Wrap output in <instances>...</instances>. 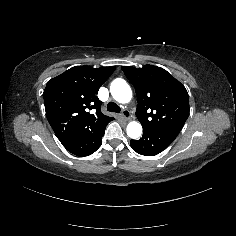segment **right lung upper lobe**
I'll list each match as a JSON object with an SVG mask.
<instances>
[{"label": "right lung upper lobe", "mask_w": 236, "mask_h": 236, "mask_svg": "<svg viewBox=\"0 0 236 236\" xmlns=\"http://www.w3.org/2000/svg\"><path fill=\"white\" fill-rule=\"evenodd\" d=\"M115 69L76 66L47 83L43 93L46 116L63 145L114 119L101 112L96 93Z\"/></svg>", "instance_id": "obj_1"}]
</instances>
